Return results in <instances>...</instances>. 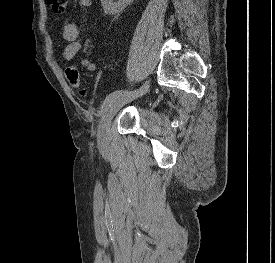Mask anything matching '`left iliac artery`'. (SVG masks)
I'll return each mask as SVG.
<instances>
[{"instance_id": "44dca946", "label": "left iliac artery", "mask_w": 275, "mask_h": 263, "mask_svg": "<svg viewBox=\"0 0 275 263\" xmlns=\"http://www.w3.org/2000/svg\"><path fill=\"white\" fill-rule=\"evenodd\" d=\"M149 87V82H145L139 89L128 92V91H123V90H117L109 94L106 99L104 100L102 104V110L105 111L112 102H114L116 99L128 95V94H144Z\"/></svg>"}]
</instances>
